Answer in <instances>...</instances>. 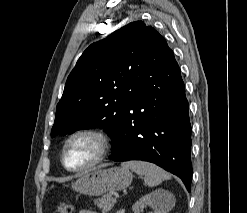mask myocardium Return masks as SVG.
<instances>
[{
	"label": "myocardium",
	"mask_w": 247,
	"mask_h": 213,
	"mask_svg": "<svg viewBox=\"0 0 247 213\" xmlns=\"http://www.w3.org/2000/svg\"><path fill=\"white\" fill-rule=\"evenodd\" d=\"M79 136H90L93 137L94 139L97 140L98 142V152L95 158L89 162L88 164L78 167V168H71L66 164L65 161V154H66V149L70 142L79 137ZM111 149V138L110 136L103 130L96 129V128H83V129H78L74 132H72L64 141L62 150H61V163L63 167L69 171V172H84L87 170H90L94 167H96L98 164L103 162L105 158L107 157L109 151Z\"/></svg>",
	"instance_id": "obj_1"
}]
</instances>
